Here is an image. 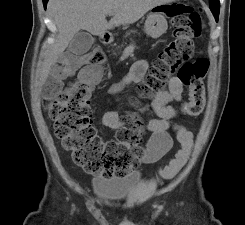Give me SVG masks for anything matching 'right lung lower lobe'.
I'll list each match as a JSON object with an SVG mask.
<instances>
[{
    "instance_id": "1",
    "label": "right lung lower lobe",
    "mask_w": 245,
    "mask_h": 225,
    "mask_svg": "<svg viewBox=\"0 0 245 225\" xmlns=\"http://www.w3.org/2000/svg\"><path fill=\"white\" fill-rule=\"evenodd\" d=\"M48 0H43L44 7L46 8Z\"/></svg>"
}]
</instances>
